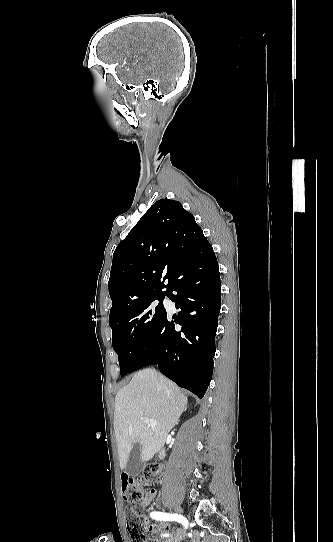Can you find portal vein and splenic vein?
<instances>
[{
    "instance_id": "18ae733b",
    "label": "portal vein and splenic vein",
    "mask_w": 333,
    "mask_h": 542,
    "mask_svg": "<svg viewBox=\"0 0 333 542\" xmlns=\"http://www.w3.org/2000/svg\"><path fill=\"white\" fill-rule=\"evenodd\" d=\"M140 420H143L144 424H148V426H157L156 420H152V418H140Z\"/></svg>"
}]
</instances>
